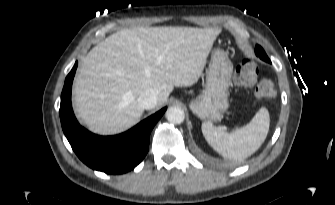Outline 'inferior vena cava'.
I'll use <instances>...</instances> for the list:
<instances>
[{"instance_id":"1","label":"inferior vena cava","mask_w":335,"mask_h":205,"mask_svg":"<svg viewBox=\"0 0 335 205\" xmlns=\"http://www.w3.org/2000/svg\"><path fill=\"white\" fill-rule=\"evenodd\" d=\"M158 94L155 89H148L138 97V103L143 109H152L156 106Z\"/></svg>"}]
</instances>
